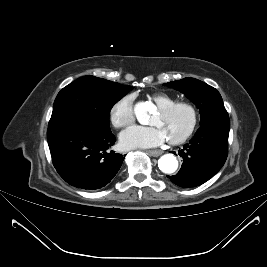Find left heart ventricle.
Masks as SVG:
<instances>
[{
  "label": "left heart ventricle",
  "mask_w": 267,
  "mask_h": 267,
  "mask_svg": "<svg viewBox=\"0 0 267 267\" xmlns=\"http://www.w3.org/2000/svg\"><path fill=\"white\" fill-rule=\"evenodd\" d=\"M191 122V114L186 108H178L167 115L159 111L151 121L153 126L160 127L167 138H176L182 135Z\"/></svg>",
  "instance_id": "b2bd125f"
}]
</instances>
